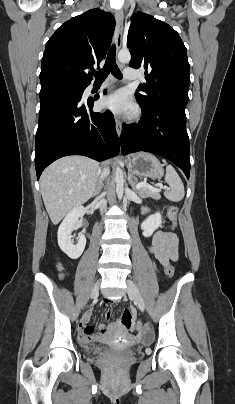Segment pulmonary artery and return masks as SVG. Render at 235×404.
<instances>
[{
  "instance_id": "pulmonary-artery-1",
  "label": "pulmonary artery",
  "mask_w": 235,
  "mask_h": 404,
  "mask_svg": "<svg viewBox=\"0 0 235 404\" xmlns=\"http://www.w3.org/2000/svg\"><path fill=\"white\" fill-rule=\"evenodd\" d=\"M124 76H125L127 79H137V78L139 77L137 71L134 70V69H132V68H126V69H124ZM109 84H110L109 82H105V83L103 84V86H106V85H109Z\"/></svg>"
}]
</instances>
